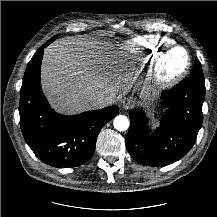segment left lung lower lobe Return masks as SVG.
<instances>
[{"label": "left lung lower lobe", "mask_w": 217, "mask_h": 217, "mask_svg": "<svg viewBox=\"0 0 217 217\" xmlns=\"http://www.w3.org/2000/svg\"><path fill=\"white\" fill-rule=\"evenodd\" d=\"M161 96L167 110L152 134L144 111H129L131 125L125 143L132 158L142 165L166 166L178 161L190 151L202 125L205 86L189 77Z\"/></svg>", "instance_id": "left-lung-lower-lobe-1"}]
</instances>
